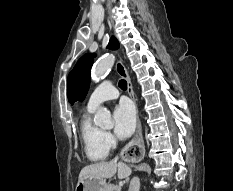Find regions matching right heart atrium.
I'll use <instances>...</instances> for the list:
<instances>
[{
  "label": "right heart atrium",
  "instance_id": "1",
  "mask_svg": "<svg viewBox=\"0 0 233 191\" xmlns=\"http://www.w3.org/2000/svg\"><path fill=\"white\" fill-rule=\"evenodd\" d=\"M104 142L109 149L113 148L116 144L115 138L109 132H104Z\"/></svg>",
  "mask_w": 233,
  "mask_h": 191
}]
</instances>
